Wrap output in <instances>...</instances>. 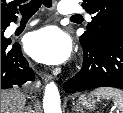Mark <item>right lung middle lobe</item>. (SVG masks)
Masks as SVG:
<instances>
[{
	"instance_id": "1",
	"label": "right lung middle lobe",
	"mask_w": 123,
	"mask_h": 113,
	"mask_svg": "<svg viewBox=\"0 0 123 113\" xmlns=\"http://www.w3.org/2000/svg\"><path fill=\"white\" fill-rule=\"evenodd\" d=\"M1 41H2V42H9V41H10L9 39H6V38L4 37V32H1Z\"/></svg>"
}]
</instances>
